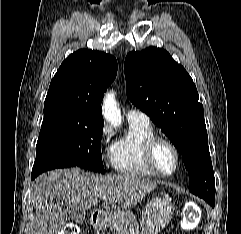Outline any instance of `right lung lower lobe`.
<instances>
[{
    "label": "right lung lower lobe",
    "mask_w": 241,
    "mask_h": 234,
    "mask_svg": "<svg viewBox=\"0 0 241 234\" xmlns=\"http://www.w3.org/2000/svg\"><path fill=\"white\" fill-rule=\"evenodd\" d=\"M75 165H73L72 163L69 162H54L51 163L47 168L45 169H40V170H32L31 173V179H35L39 174H41L42 172H45L47 170H51V169H55V168H66V167H74Z\"/></svg>",
    "instance_id": "98d812e1"
}]
</instances>
